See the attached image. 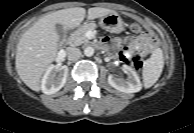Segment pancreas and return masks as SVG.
<instances>
[{"instance_id": "obj_1", "label": "pancreas", "mask_w": 194, "mask_h": 133, "mask_svg": "<svg viewBox=\"0 0 194 133\" xmlns=\"http://www.w3.org/2000/svg\"><path fill=\"white\" fill-rule=\"evenodd\" d=\"M95 29L96 25L94 23H89L81 26L69 36V44L71 46H79L82 44L89 43V39L86 37V32L96 31Z\"/></svg>"}]
</instances>
